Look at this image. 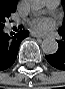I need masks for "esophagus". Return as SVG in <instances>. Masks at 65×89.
<instances>
[{
    "label": "esophagus",
    "instance_id": "obj_1",
    "mask_svg": "<svg viewBox=\"0 0 65 89\" xmlns=\"http://www.w3.org/2000/svg\"><path fill=\"white\" fill-rule=\"evenodd\" d=\"M31 35L37 38H42V39L46 38V35L39 33V32H35V31L31 32Z\"/></svg>",
    "mask_w": 65,
    "mask_h": 89
}]
</instances>
